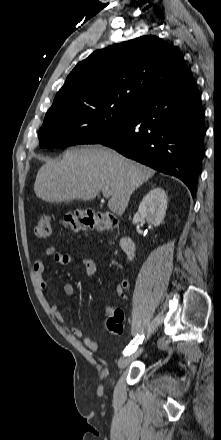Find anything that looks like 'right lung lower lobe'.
<instances>
[{
  "instance_id": "98d812e1",
  "label": "right lung lower lobe",
  "mask_w": 221,
  "mask_h": 440,
  "mask_svg": "<svg viewBox=\"0 0 221 440\" xmlns=\"http://www.w3.org/2000/svg\"><path fill=\"white\" fill-rule=\"evenodd\" d=\"M204 133L200 93L191 81L136 105L127 121L99 143L181 179L194 197Z\"/></svg>"
}]
</instances>
